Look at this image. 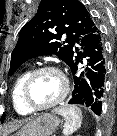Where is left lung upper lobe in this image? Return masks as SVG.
<instances>
[{
    "mask_svg": "<svg viewBox=\"0 0 117 136\" xmlns=\"http://www.w3.org/2000/svg\"><path fill=\"white\" fill-rule=\"evenodd\" d=\"M97 22L78 0H42L26 23L11 55L8 75L28 59L57 55L69 67L83 53L86 39L99 32Z\"/></svg>",
    "mask_w": 117,
    "mask_h": 136,
    "instance_id": "left-lung-upper-lobe-1",
    "label": "left lung upper lobe"
}]
</instances>
